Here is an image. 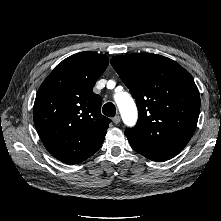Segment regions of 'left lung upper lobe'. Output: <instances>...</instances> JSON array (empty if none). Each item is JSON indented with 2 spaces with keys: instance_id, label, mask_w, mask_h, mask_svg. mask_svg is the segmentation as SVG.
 Returning <instances> with one entry per match:
<instances>
[{
  "instance_id": "obj_1",
  "label": "left lung upper lobe",
  "mask_w": 221,
  "mask_h": 221,
  "mask_svg": "<svg viewBox=\"0 0 221 221\" xmlns=\"http://www.w3.org/2000/svg\"><path fill=\"white\" fill-rule=\"evenodd\" d=\"M111 64L138 107V123L125 131L131 147L153 161L176 156L199 117L200 95L191 75L175 61L149 53L115 56Z\"/></svg>"
}]
</instances>
